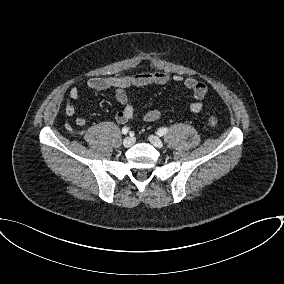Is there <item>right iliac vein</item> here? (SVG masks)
<instances>
[{
  "mask_svg": "<svg viewBox=\"0 0 284 284\" xmlns=\"http://www.w3.org/2000/svg\"><path fill=\"white\" fill-rule=\"evenodd\" d=\"M134 144V138L133 137H126L123 140V146L128 148L131 147Z\"/></svg>",
  "mask_w": 284,
  "mask_h": 284,
  "instance_id": "right-iliac-vein-1",
  "label": "right iliac vein"
}]
</instances>
